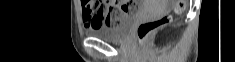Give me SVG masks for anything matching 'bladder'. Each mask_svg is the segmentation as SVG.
<instances>
[{
    "label": "bladder",
    "mask_w": 235,
    "mask_h": 62,
    "mask_svg": "<svg viewBox=\"0 0 235 62\" xmlns=\"http://www.w3.org/2000/svg\"><path fill=\"white\" fill-rule=\"evenodd\" d=\"M134 20V14L123 15L117 25H107L97 29H91L88 31V34L106 42H121L128 35Z\"/></svg>",
    "instance_id": "obj_1"
}]
</instances>
